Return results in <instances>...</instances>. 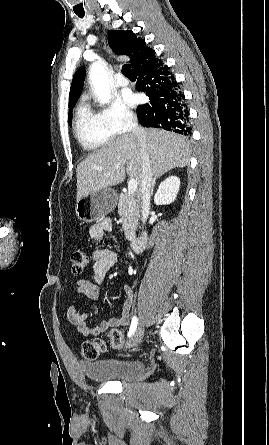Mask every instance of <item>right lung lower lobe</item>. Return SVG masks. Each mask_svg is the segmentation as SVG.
<instances>
[{
  "mask_svg": "<svg viewBox=\"0 0 269 445\" xmlns=\"http://www.w3.org/2000/svg\"><path fill=\"white\" fill-rule=\"evenodd\" d=\"M136 89L145 92L150 103L137 107V116L144 127L163 128L190 135L189 111L184 95L168 67L154 57L135 70Z\"/></svg>",
  "mask_w": 269,
  "mask_h": 445,
  "instance_id": "1",
  "label": "right lung lower lobe"
}]
</instances>
